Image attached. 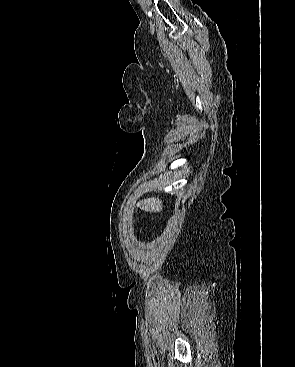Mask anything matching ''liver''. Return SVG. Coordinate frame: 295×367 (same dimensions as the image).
<instances>
[{"instance_id":"1","label":"liver","mask_w":295,"mask_h":367,"mask_svg":"<svg viewBox=\"0 0 295 367\" xmlns=\"http://www.w3.org/2000/svg\"><path fill=\"white\" fill-rule=\"evenodd\" d=\"M137 206L146 212H160L163 208L162 201L156 197L141 200Z\"/></svg>"}]
</instances>
